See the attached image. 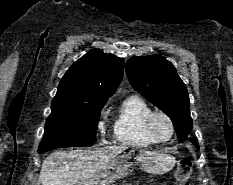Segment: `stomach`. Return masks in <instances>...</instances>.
Masks as SVG:
<instances>
[{"label":"stomach","instance_id":"stomach-1","mask_svg":"<svg viewBox=\"0 0 233 185\" xmlns=\"http://www.w3.org/2000/svg\"><path fill=\"white\" fill-rule=\"evenodd\" d=\"M136 161L141 170L157 175L169 172L176 162L172 155L163 151H139ZM130 165V155H120L98 175L76 185H111L115 180L126 176Z\"/></svg>","mask_w":233,"mask_h":185}]
</instances>
